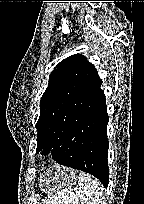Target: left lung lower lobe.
I'll list each match as a JSON object with an SVG mask.
<instances>
[{
	"label": "left lung lower lobe",
	"mask_w": 144,
	"mask_h": 204,
	"mask_svg": "<svg viewBox=\"0 0 144 204\" xmlns=\"http://www.w3.org/2000/svg\"><path fill=\"white\" fill-rule=\"evenodd\" d=\"M97 78L88 86L86 99L69 124L63 141L51 150L59 164L88 172L97 177L104 187L109 183L107 153V123L109 120L105 95Z\"/></svg>",
	"instance_id": "left-lung-lower-lobe-1"
}]
</instances>
